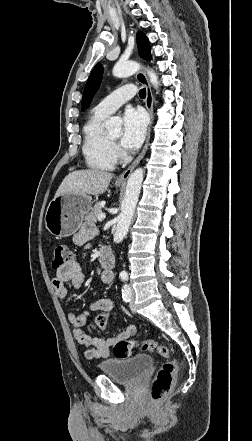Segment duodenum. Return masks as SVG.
Returning <instances> with one entry per match:
<instances>
[{"mask_svg": "<svg viewBox=\"0 0 252 441\" xmlns=\"http://www.w3.org/2000/svg\"><path fill=\"white\" fill-rule=\"evenodd\" d=\"M99 263L107 272H110L114 267V256L112 252L105 246L100 248Z\"/></svg>", "mask_w": 252, "mask_h": 441, "instance_id": "duodenum-1", "label": "duodenum"}]
</instances>
